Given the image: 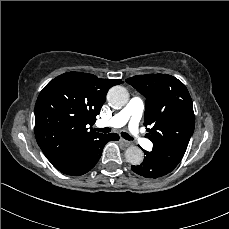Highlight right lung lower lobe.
I'll return each mask as SVG.
<instances>
[{"label": "right lung lower lobe", "instance_id": "obj_1", "mask_svg": "<svg viewBox=\"0 0 229 229\" xmlns=\"http://www.w3.org/2000/svg\"><path fill=\"white\" fill-rule=\"evenodd\" d=\"M112 140H119L116 133L100 134L96 139L89 141L64 166L58 170L67 175L79 176L91 170L101 157L104 145Z\"/></svg>", "mask_w": 229, "mask_h": 229}]
</instances>
